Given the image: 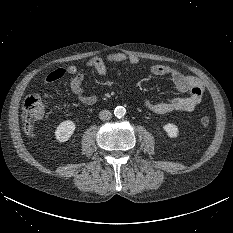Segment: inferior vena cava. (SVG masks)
I'll return each instance as SVG.
<instances>
[{"label": "inferior vena cava", "mask_w": 233, "mask_h": 233, "mask_svg": "<svg viewBox=\"0 0 233 233\" xmlns=\"http://www.w3.org/2000/svg\"><path fill=\"white\" fill-rule=\"evenodd\" d=\"M99 118L102 121L110 120L112 118V113L109 110H102L99 113Z\"/></svg>", "instance_id": "602c4592"}]
</instances>
